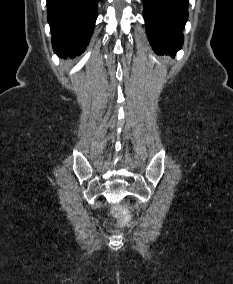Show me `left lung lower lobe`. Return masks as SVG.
Masks as SVG:
<instances>
[{
    "mask_svg": "<svg viewBox=\"0 0 233 284\" xmlns=\"http://www.w3.org/2000/svg\"><path fill=\"white\" fill-rule=\"evenodd\" d=\"M146 32L157 54L175 56L183 45L189 0H142Z\"/></svg>",
    "mask_w": 233,
    "mask_h": 284,
    "instance_id": "0a47b994",
    "label": "left lung lower lobe"
}]
</instances>
